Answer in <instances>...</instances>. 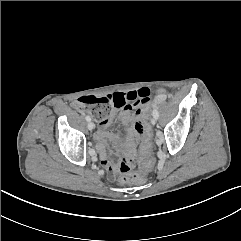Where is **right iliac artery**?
I'll list each match as a JSON object with an SVG mask.
<instances>
[{
	"label": "right iliac artery",
	"mask_w": 241,
	"mask_h": 241,
	"mask_svg": "<svg viewBox=\"0 0 241 241\" xmlns=\"http://www.w3.org/2000/svg\"><path fill=\"white\" fill-rule=\"evenodd\" d=\"M85 118H86L87 121L91 120V118L89 116H86Z\"/></svg>",
	"instance_id": "right-iliac-artery-1"
}]
</instances>
